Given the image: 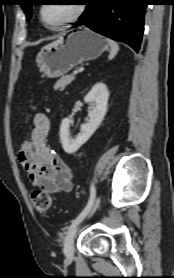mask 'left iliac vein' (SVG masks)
Instances as JSON below:
<instances>
[{"mask_svg": "<svg viewBox=\"0 0 174 278\" xmlns=\"http://www.w3.org/2000/svg\"><path fill=\"white\" fill-rule=\"evenodd\" d=\"M100 202V198H97L95 201V204L93 206V208L91 209L90 213L88 216H91L95 210L97 209L98 205ZM79 228V223L74 226L68 233L67 236L65 238V242H64V254L66 257V260L68 262H71L73 260V256H74V239L76 236V232Z\"/></svg>", "mask_w": 174, "mask_h": 278, "instance_id": "4c4485c4", "label": "left iliac vein"}]
</instances>
